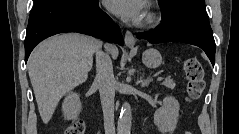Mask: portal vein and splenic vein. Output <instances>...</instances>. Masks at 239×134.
Masks as SVG:
<instances>
[{"label":"portal vein and splenic vein","mask_w":239,"mask_h":134,"mask_svg":"<svg viewBox=\"0 0 239 134\" xmlns=\"http://www.w3.org/2000/svg\"><path fill=\"white\" fill-rule=\"evenodd\" d=\"M163 78L161 76L157 77L158 81H161Z\"/></svg>","instance_id":"portal-vein-and-splenic-vein-1"}]
</instances>
